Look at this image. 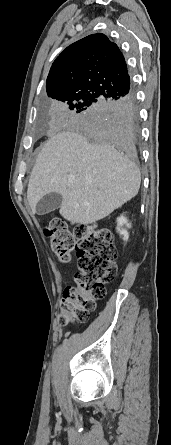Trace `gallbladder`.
<instances>
[{"label": "gallbladder", "instance_id": "gallbladder-1", "mask_svg": "<svg viewBox=\"0 0 171 445\" xmlns=\"http://www.w3.org/2000/svg\"><path fill=\"white\" fill-rule=\"evenodd\" d=\"M62 196L59 193L52 192L42 197L36 205V213L39 215L47 214L58 209L62 203Z\"/></svg>", "mask_w": 171, "mask_h": 445}]
</instances>
